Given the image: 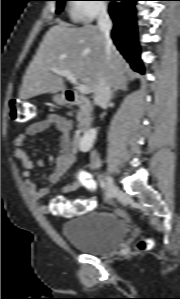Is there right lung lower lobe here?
<instances>
[{"label": "right lung lower lobe", "instance_id": "1", "mask_svg": "<svg viewBox=\"0 0 180 299\" xmlns=\"http://www.w3.org/2000/svg\"><path fill=\"white\" fill-rule=\"evenodd\" d=\"M119 1L120 2H112L109 6V13L114 24L111 33L112 39L118 50L130 63L133 70L144 74V67L140 59V49L134 16V6L137 0Z\"/></svg>", "mask_w": 180, "mask_h": 299}]
</instances>
